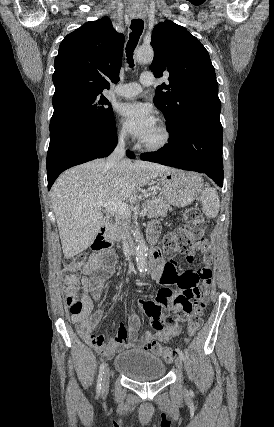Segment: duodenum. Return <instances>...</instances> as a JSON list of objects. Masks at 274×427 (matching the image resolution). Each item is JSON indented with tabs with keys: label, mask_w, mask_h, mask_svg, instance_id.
I'll return each instance as SVG.
<instances>
[{
	"label": "duodenum",
	"mask_w": 274,
	"mask_h": 427,
	"mask_svg": "<svg viewBox=\"0 0 274 427\" xmlns=\"http://www.w3.org/2000/svg\"><path fill=\"white\" fill-rule=\"evenodd\" d=\"M108 223H109V219H106L104 225L99 230V233H98V235H97V237L95 239V242H94V247L96 249H101V248H104V247H107V246L110 245V241H109V239L107 237V226H108ZM136 251H137V248L133 244H128L124 248V252L127 255H133V254L136 253ZM148 256H149V259H150L151 263H153V262H155L156 260L159 259V257H160V250H159V248L157 247V245L155 243H153L148 248Z\"/></svg>",
	"instance_id": "obj_1"
}]
</instances>
